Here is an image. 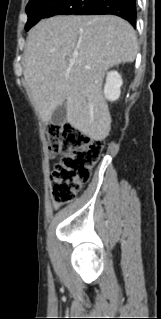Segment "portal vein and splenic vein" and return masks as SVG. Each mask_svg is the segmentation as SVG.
<instances>
[{
    "mask_svg": "<svg viewBox=\"0 0 161 319\" xmlns=\"http://www.w3.org/2000/svg\"><path fill=\"white\" fill-rule=\"evenodd\" d=\"M69 62H70V64H74L76 62V59L75 58L70 59Z\"/></svg>",
    "mask_w": 161,
    "mask_h": 319,
    "instance_id": "portal-vein-and-splenic-vein-1",
    "label": "portal vein and splenic vein"
}]
</instances>
